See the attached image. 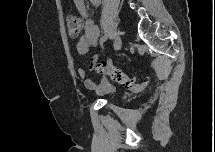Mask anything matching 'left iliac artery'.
<instances>
[{
	"label": "left iliac artery",
	"mask_w": 215,
	"mask_h": 152,
	"mask_svg": "<svg viewBox=\"0 0 215 152\" xmlns=\"http://www.w3.org/2000/svg\"><path fill=\"white\" fill-rule=\"evenodd\" d=\"M107 38H108V36L105 35V36L101 39V42L106 41ZM108 59L111 61L113 58L110 56ZM108 68H109V69H112V68H113V63H112V62H109V63H108Z\"/></svg>",
	"instance_id": "1"
}]
</instances>
